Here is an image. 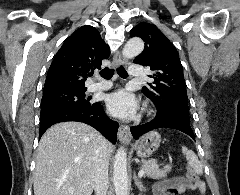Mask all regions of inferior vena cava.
<instances>
[{
    "mask_svg": "<svg viewBox=\"0 0 240 195\" xmlns=\"http://www.w3.org/2000/svg\"><path fill=\"white\" fill-rule=\"evenodd\" d=\"M107 139H102L99 147H97L96 171L94 175V189L96 195H106L109 183L108 177V155H107Z\"/></svg>",
    "mask_w": 240,
    "mask_h": 195,
    "instance_id": "1",
    "label": "inferior vena cava"
}]
</instances>
